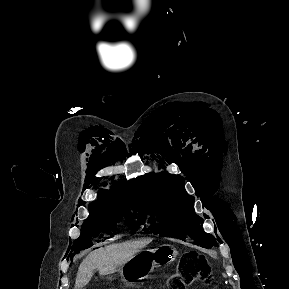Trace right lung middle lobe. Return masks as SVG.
<instances>
[{"label": "right lung middle lobe", "mask_w": 289, "mask_h": 289, "mask_svg": "<svg viewBox=\"0 0 289 289\" xmlns=\"http://www.w3.org/2000/svg\"><path fill=\"white\" fill-rule=\"evenodd\" d=\"M136 210L137 206L131 202L90 205L89 217L82 225L80 237L74 241L71 250L74 252L73 255L91 247L95 239L101 237L104 233L109 232L111 234V232H114L120 217L124 218L127 226L132 229V232H135L140 226V217H137Z\"/></svg>", "instance_id": "dd1d6c3e"}]
</instances>
